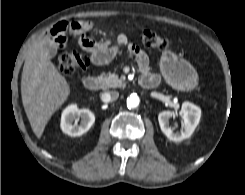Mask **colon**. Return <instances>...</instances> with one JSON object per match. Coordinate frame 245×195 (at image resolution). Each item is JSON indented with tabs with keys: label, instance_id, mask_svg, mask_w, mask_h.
I'll list each match as a JSON object with an SVG mask.
<instances>
[{
	"label": "colon",
	"instance_id": "obj_1",
	"mask_svg": "<svg viewBox=\"0 0 245 195\" xmlns=\"http://www.w3.org/2000/svg\"><path fill=\"white\" fill-rule=\"evenodd\" d=\"M140 40L147 48L165 49L167 41L156 32L146 29L141 33ZM89 64V60L78 52H65L58 57L57 69L67 77H74L76 74L84 71Z\"/></svg>",
	"mask_w": 245,
	"mask_h": 195
}]
</instances>
